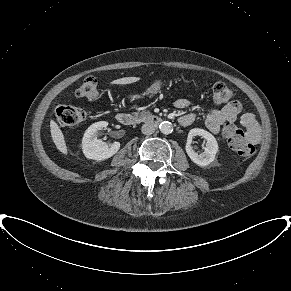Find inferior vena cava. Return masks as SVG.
Returning <instances> with one entry per match:
<instances>
[{
  "label": "inferior vena cava",
  "instance_id": "1",
  "mask_svg": "<svg viewBox=\"0 0 291 291\" xmlns=\"http://www.w3.org/2000/svg\"><path fill=\"white\" fill-rule=\"evenodd\" d=\"M156 126L152 122H146L142 126V133L146 135L153 134L155 132Z\"/></svg>",
  "mask_w": 291,
  "mask_h": 291
}]
</instances>
